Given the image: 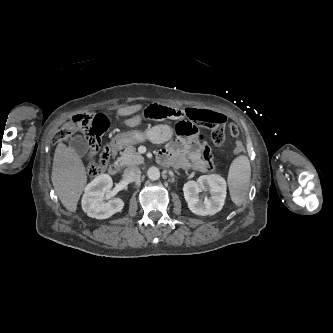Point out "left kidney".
<instances>
[{
    "label": "left kidney",
    "mask_w": 333,
    "mask_h": 333,
    "mask_svg": "<svg viewBox=\"0 0 333 333\" xmlns=\"http://www.w3.org/2000/svg\"><path fill=\"white\" fill-rule=\"evenodd\" d=\"M189 209L196 215H213L220 211L226 198V181L217 174L202 175L197 181H188L183 187ZM200 192H207L199 196Z\"/></svg>",
    "instance_id": "5707ae66"
}]
</instances>
